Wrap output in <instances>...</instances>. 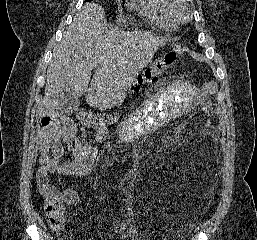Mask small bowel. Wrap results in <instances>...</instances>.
Returning a JSON list of instances; mask_svg holds the SVG:
<instances>
[{
  "mask_svg": "<svg viewBox=\"0 0 257 240\" xmlns=\"http://www.w3.org/2000/svg\"><path fill=\"white\" fill-rule=\"evenodd\" d=\"M110 132L103 125H97L95 141L103 143L109 138ZM64 144L72 152L71 160L64 159ZM40 167L37 171L39 192L57 195L62 203L74 205L79 203L80 196L75 189L59 191L50 182L51 175L84 177L95 168L98 149L89 141L82 139L73 124L65 127H50L43 130L38 141ZM117 233L126 240H138L136 229L129 219L119 218L111 221ZM50 227L57 238L61 237L62 226L50 222ZM89 240H95L90 238Z\"/></svg>",
  "mask_w": 257,
  "mask_h": 240,
  "instance_id": "obj_1",
  "label": "small bowel"
}]
</instances>
